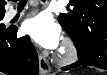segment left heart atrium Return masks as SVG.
Listing matches in <instances>:
<instances>
[{
  "label": "left heart atrium",
  "instance_id": "1",
  "mask_svg": "<svg viewBox=\"0 0 107 75\" xmlns=\"http://www.w3.org/2000/svg\"><path fill=\"white\" fill-rule=\"evenodd\" d=\"M23 29L27 35L42 47L55 49L60 44V27L47 13H40L26 20Z\"/></svg>",
  "mask_w": 107,
  "mask_h": 75
}]
</instances>
